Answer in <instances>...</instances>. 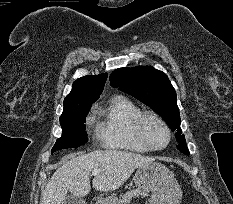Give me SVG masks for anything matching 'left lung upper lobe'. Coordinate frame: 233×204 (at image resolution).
Masks as SVG:
<instances>
[{
    "label": "left lung upper lobe",
    "mask_w": 233,
    "mask_h": 204,
    "mask_svg": "<svg viewBox=\"0 0 233 204\" xmlns=\"http://www.w3.org/2000/svg\"><path fill=\"white\" fill-rule=\"evenodd\" d=\"M110 84L136 97L160 114L175 133L177 148L189 155L184 135H181L176 92L167 75L151 66L119 68L110 75Z\"/></svg>",
    "instance_id": "obj_1"
}]
</instances>
